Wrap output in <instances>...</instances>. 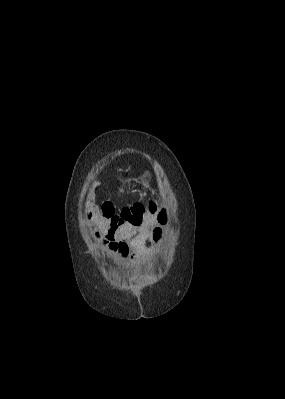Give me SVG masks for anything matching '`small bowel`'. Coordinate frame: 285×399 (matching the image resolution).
Here are the masks:
<instances>
[{
  "label": "small bowel",
  "mask_w": 285,
  "mask_h": 399,
  "mask_svg": "<svg viewBox=\"0 0 285 399\" xmlns=\"http://www.w3.org/2000/svg\"><path fill=\"white\" fill-rule=\"evenodd\" d=\"M157 208L154 210L148 211L145 206L138 205L135 208H126L125 210L122 211V217L124 218V224L122 226H119L114 230L115 237H123L129 239L132 235V231H134L135 226V221H132L133 218H137L140 215L144 216V218H147L151 221H156L158 219L157 215ZM142 226V225H141ZM142 232L141 234L137 237L135 243L138 247L141 248L142 242L146 239L150 240L154 246L158 245V242L161 238L162 231L160 228H156L154 232L149 233L143 228L141 229ZM112 238L114 237H109ZM141 254L145 255L146 253L144 250L141 248L140 249Z\"/></svg>",
  "instance_id": "1"
}]
</instances>
